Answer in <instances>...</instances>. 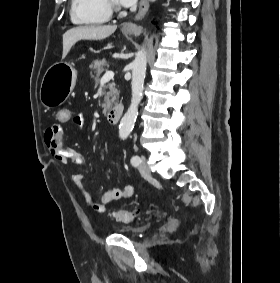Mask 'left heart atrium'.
I'll return each mask as SVG.
<instances>
[{"mask_svg": "<svg viewBox=\"0 0 280 283\" xmlns=\"http://www.w3.org/2000/svg\"><path fill=\"white\" fill-rule=\"evenodd\" d=\"M137 0H119V2L121 3V5L125 6V7H129L132 6L136 3Z\"/></svg>", "mask_w": 280, "mask_h": 283, "instance_id": "left-heart-atrium-1", "label": "left heart atrium"}]
</instances>
